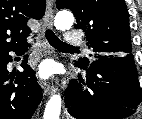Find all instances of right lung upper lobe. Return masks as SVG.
Instances as JSON below:
<instances>
[{"label":"right lung upper lobe","instance_id":"1","mask_svg":"<svg viewBox=\"0 0 142 119\" xmlns=\"http://www.w3.org/2000/svg\"><path fill=\"white\" fill-rule=\"evenodd\" d=\"M45 0H0V52L24 46L30 18L41 19Z\"/></svg>","mask_w":142,"mask_h":119}]
</instances>
